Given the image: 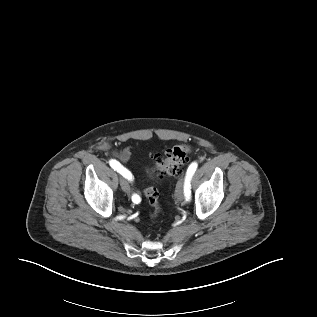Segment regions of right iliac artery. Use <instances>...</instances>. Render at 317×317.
<instances>
[{"label":"right iliac artery","mask_w":317,"mask_h":317,"mask_svg":"<svg viewBox=\"0 0 317 317\" xmlns=\"http://www.w3.org/2000/svg\"><path fill=\"white\" fill-rule=\"evenodd\" d=\"M109 164H110V166H111L114 170H116L117 172H119L123 177H125L126 179H128V180H130V181L132 180V174H131V172L128 171L126 168H124L118 161H116V160H114V159H111V160L109 161ZM132 201H133L134 203L138 204V203L141 201V199H140V197H139L138 195L134 194V195L132 196Z\"/></svg>","instance_id":"obj_1"}]
</instances>
